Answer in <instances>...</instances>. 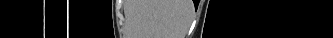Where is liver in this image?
<instances>
[{
	"label": "liver",
	"instance_id": "6515ba94",
	"mask_svg": "<svg viewBox=\"0 0 333 38\" xmlns=\"http://www.w3.org/2000/svg\"><path fill=\"white\" fill-rule=\"evenodd\" d=\"M192 17L191 0H137L133 29L137 38H184Z\"/></svg>",
	"mask_w": 333,
	"mask_h": 38
}]
</instances>
